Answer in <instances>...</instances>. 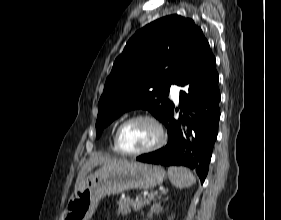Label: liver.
I'll return each mask as SVG.
<instances>
[{
  "mask_svg": "<svg viewBox=\"0 0 281 220\" xmlns=\"http://www.w3.org/2000/svg\"><path fill=\"white\" fill-rule=\"evenodd\" d=\"M127 160L112 158L100 153L93 154L90 159L82 166L78 173L75 184V190L81 185L87 174L96 166L101 165L103 168H116L129 164Z\"/></svg>",
  "mask_w": 281,
  "mask_h": 220,
  "instance_id": "6515ba94",
  "label": "liver"
}]
</instances>
